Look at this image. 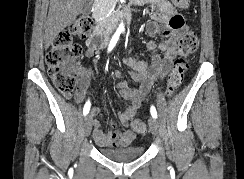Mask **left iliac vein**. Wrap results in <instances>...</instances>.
<instances>
[{
    "mask_svg": "<svg viewBox=\"0 0 244 179\" xmlns=\"http://www.w3.org/2000/svg\"><path fill=\"white\" fill-rule=\"evenodd\" d=\"M149 128H150V132L154 135V136H158L159 135V123L155 118H150L149 119Z\"/></svg>",
    "mask_w": 244,
    "mask_h": 179,
    "instance_id": "4c4485c4",
    "label": "left iliac vein"
}]
</instances>
